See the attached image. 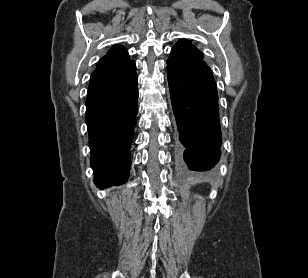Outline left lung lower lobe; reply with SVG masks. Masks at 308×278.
<instances>
[{"mask_svg":"<svg viewBox=\"0 0 308 278\" xmlns=\"http://www.w3.org/2000/svg\"><path fill=\"white\" fill-rule=\"evenodd\" d=\"M167 77L184 161L191 170H210L221 153L218 94L212 71L204 61L187 66L168 64Z\"/></svg>","mask_w":308,"mask_h":278,"instance_id":"left-lung-lower-lobe-1","label":"left lung lower lobe"}]
</instances>
